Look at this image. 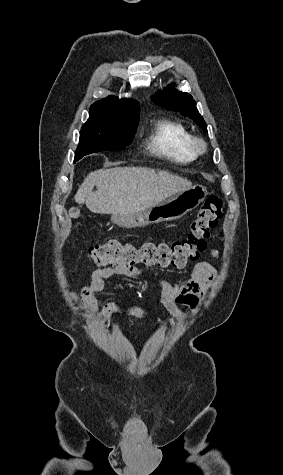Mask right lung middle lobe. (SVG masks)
I'll list each match as a JSON object with an SVG mask.
<instances>
[{"instance_id": "right-lung-middle-lobe-1", "label": "right lung middle lobe", "mask_w": 283, "mask_h": 475, "mask_svg": "<svg viewBox=\"0 0 283 475\" xmlns=\"http://www.w3.org/2000/svg\"><path fill=\"white\" fill-rule=\"evenodd\" d=\"M82 126L74 161L99 151H118L132 142L140 115L139 106L92 107Z\"/></svg>"}]
</instances>
